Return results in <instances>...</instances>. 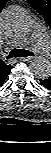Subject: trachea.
<instances>
[{"label": "trachea", "mask_w": 51, "mask_h": 153, "mask_svg": "<svg viewBox=\"0 0 51 153\" xmlns=\"http://www.w3.org/2000/svg\"><path fill=\"white\" fill-rule=\"evenodd\" d=\"M29 56H34V53L24 49H13L10 51L9 55L7 56V59L17 58V57H29Z\"/></svg>", "instance_id": "trachea-1"}]
</instances>
